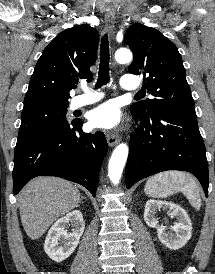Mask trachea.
I'll return each instance as SVG.
<instances>
[{
    "label": "trachea",
    "mask_w": 215,
    "mask_h": 274,
    "mask_svg": "<svg viewBox=\"0 0 215 274\" xmlns=\"http://www.w3.org/2000/svg\"><path fill=\"white\" fill-rule=\"evenodd\" d=\"M109 43L108 36L105 34L101 40L100 47V64H99V72H98V80L96 83V88H100L103 85H106L109 80ZM140 94H137L136 97H139Z\"/></svg>",
    "instance_id": "obj_1"
}]
</instances>
